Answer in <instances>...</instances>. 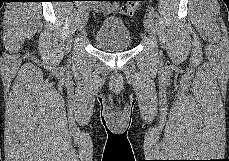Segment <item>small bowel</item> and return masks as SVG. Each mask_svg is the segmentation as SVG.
Masks as SVG:
<instances>
[{
    "label": "small bowel",
    "instance_id": "obj_1",
    "mask_svg": "<svg viewBox=\"0 0 229 161\" xmlns=\"http://www.w3.org/2000/svg\"><path fill=\"white\" fill-rule=\"evenodd\" d=\"M117 10H118V5L116 4L115 1H111V2H108L103 12L110 13V12H115Z\"/></svg>",
    "mask_w": 229,
    "mask_h": 161
}]
</instances>
